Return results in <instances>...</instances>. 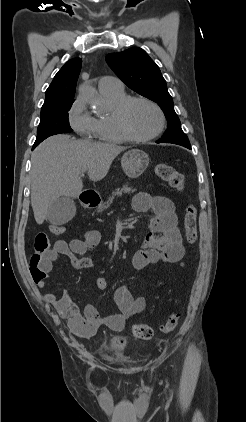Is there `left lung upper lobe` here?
Wrapping results in <instances>:
<instances>
[{"instance_id":"1","label":"left lung upper lobe","mask_w":246,"mask_h":422,"mask_svg":"<svg viewBox=\"0 0 246 422\" xmlns=\"http://www.w3.org/2000/svg\"><path fill=\"white\" fill-rule=\"evenodd\" d=\"M106 61L116 75L133 91L153 100L168 119V127L157 143L190 145L174 110L171 95L159 67L141 48L135 47L119 53H110Z\"/></svg>"}]
</instances>
